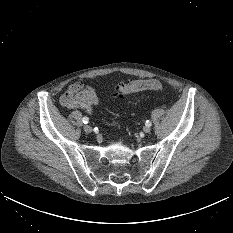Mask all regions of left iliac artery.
<instances>
[{
    "label": "left iliac artery",
    "mask_w": 233,
    "mask_h": 233,
    "mask_svg": "<svg viewBox=\"0 0 233 233\" xmlns=\"http://www.w3.org/2000/svg\"><path fill=\"white\" fill-rule=\"evenodd\" d=\"M146 126H151V122L149 120L146 121L145 123Z\"/></svg>",
    "instance_id": "left-iliac-artery-1"
}]
</instances>
